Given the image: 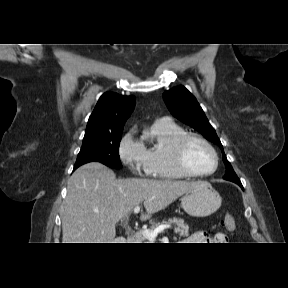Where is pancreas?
<instances>
[{"label": "pancreas", "instance_id": "1", "mask_svg": "<svg viewBox=\"0 0 288 288\" xmlns=\"http://www.w3.org/2000/svg\"><path fill=\"white\" fill-rule=\"evenodd\" d=\"M163 224H174L175 225V233H178L181 237H188L189 236V226L184 223L183 219H177V218H172V219H168L167 221H163ZM160 225V223H152L150 230H154L156 229L158 226ZM134 243H146L147 242V238L145 236H143V234L141 232H137L134 235Z\"/></svg>", "mask_w": 288, "mask_h": 288}]
</instances>
